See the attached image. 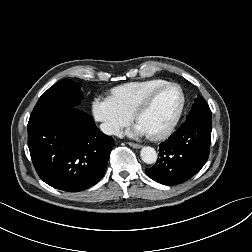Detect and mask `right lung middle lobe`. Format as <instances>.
I'll return each mask as SVG.
<instances>
[{
    "label": "right lung middle lobe",
    "instance_id": "right-lung-middle-lobe-1",
    "mask_svg": "<svg viewBox=\"0 0 252 252\" xmlns=\"http://www.w3.org/2000/svg\"><path fill=\"white\" fill-rule=\"evenodd\" d=\"M80 88L81 84L75 83L70 79H64L54 84L39 98L29 120L36 119L58 109L77 108L81 99H83Z\"/></svg>",
    "mask_w": 252,
    "mask_h": 252
}]
</instances>
